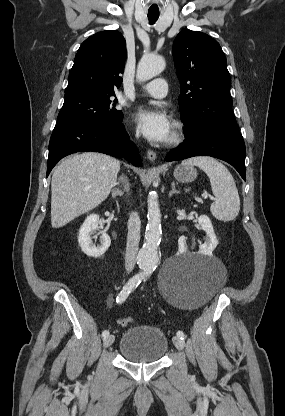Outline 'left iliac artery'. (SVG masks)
I'll return each instance as SVG.
<instances>
[{
	"label": "left iliac artery",
	"instance_id": "44dca946",
	"mask_svg": "<svg viewBox=\"0 0 285 416\" xmlns=\"http://www.w3.org/2000/svg\"><path fill=\"white\" fill-rule=\"evenodd\" d=\"M177 336H178L179 338H181L182 340H184V339H185V334L183 333V331H178V332H177Z\"/></svg>",
	"mask_w": 285,
	"mask_h": 416
}]
</instances>
